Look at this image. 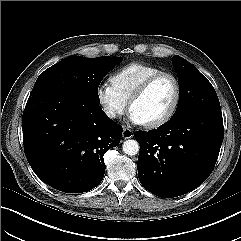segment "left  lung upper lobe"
<instances>
[{
	"label": "left lung upper lobe",
	"mask_w": 241,
	"mask_h": 241,
	"mask_svg": "<svg viewBox=\"0 0 241 241\" xmlns=\"http://www.w3.org/2000/svg\"><path fill=\"white\" fill-rule=\"evenodd\" d=\"M171 60L177 72L180 89L175 114L197 107L220 108L218 96L212 84L196 67L179 56H174Z\"/></svg>",
	"instance_id": "left-lung-upper-lobe-1"
}]
</instances>
